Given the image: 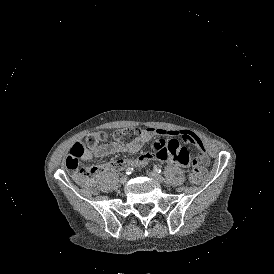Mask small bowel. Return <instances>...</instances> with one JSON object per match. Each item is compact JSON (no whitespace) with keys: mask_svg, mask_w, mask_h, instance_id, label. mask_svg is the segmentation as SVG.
I'll return each mask as SVG.
<instances>
[{"mask_svg":"<svg viewBox=\"0 0 274 274\" xmlns=\"http://www.w3.org/2000/svg\"><path fill=\"white\" fill-rule=\"evenodd\" d=\"M159 136L178 137L183 142L193 145L196 148V159L194 152L183 143L176 139H158L152 145V151H141L135 161L119 158L113 162L101 164L96 167V173L103 174L113 169H124L135 165L138 170H146L151 163L170 159V163L176 165L180 163L187 168H193L199 160L207 163L205 155V146L202 140L194 133L187 130H168L158 127H146L141 130L139 136L131 143L124 144L118 141L98 144L92 150H86L82 158L86 161L94 156L103 157L120 152L136 153L143 145L151 142ZM77 181H86V178L80 174H75Z\"/></svg>","mask_w":274,"mask_h":274,"instance_id":"small-bowel-1","label":"small bowel"}]
</instances>
